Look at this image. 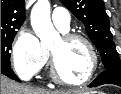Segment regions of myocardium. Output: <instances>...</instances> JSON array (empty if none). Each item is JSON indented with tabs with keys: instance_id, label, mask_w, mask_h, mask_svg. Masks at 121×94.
Returning <instances> with one entry per match:
<instances>
[{
	"instance_id": "obj_1",
	"label": "myocardium",
	"mask_w": 121,
	"mask_h": 94,
	"mask_svg": "<svg viewBox=\"0 0 121 94\" xmlns=\"http://www.w3.org/2000/svg\"><path fill=\"white\" fill-rule=\"evenodd\" d=\"M62 39L66 42L73 41V40L82 41L88 49L90 60H91V67H90L89 73L84 79L80 81H69L60 74L56 56L51 51L50 53L51 54V75L53 80L58 84L68 86V87L82 86L84 84H87L92 80V78L94 77L98 69L99 60H98V55L94 45L86 36L79 33H66L62 36Z\"/></svg>"
}]
</instances>
